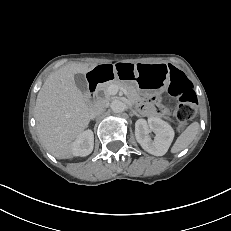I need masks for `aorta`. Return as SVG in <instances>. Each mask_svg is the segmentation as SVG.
<instances>
[{"label": "aorta", "instance_id": "762f6f07", "mask_svg": "<svg viewBox=\"0 0 231 231\" xmlns=\"http://www.w3.org/2000/svg\"><path fill=\"white\" fill-rule=\"evenodd\" d=\"M110 107L114 113H121L125 109V104L121 100L115 99L111 102Z\"/></svg>", "mask_w": 231, "mask_h": 231}]
</instances>
